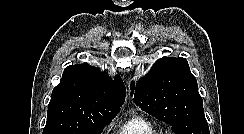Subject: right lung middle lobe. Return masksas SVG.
Listing matches in <instances>:
<instances>
[{
    "instance_id": "dd1d6c3e",
    "label": "right lung middle lobe",
    "mask_w": 244,
    "mask_h": 134,
    "mask_svg": "<svg viewBox=\"0 0 244 134\" xmlns=\"http://www.w3.org/2000/svg\"><path fill=\"white\" fill-rule=\"evenodd\" d=\"M115 116L81 117L48 109L43 134H99Z\"/></svg>"
}]
</instances>
